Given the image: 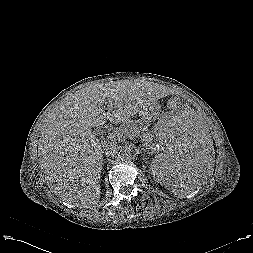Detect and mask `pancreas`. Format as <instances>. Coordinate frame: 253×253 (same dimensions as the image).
Wrapping results in <instances>:
<instances>
[{"mask_svg":"<svg viewBox=\"0 0 253 253\" xmlns=\"http://www.w3.org/2000/svg\"><path fill=\"white\" fill-rule=\"evenodd\" d=\"M118 133L119 137H117ZM132 133H135L134 135H141V139L146 147H149L152 143L149 140L153 141V135L148 128V124L142 120H131L122 124L109 133V138L121 141L126 137H131Z\"/></svg>","mask_w":253,"mask_h":253,"instance_id":"obj_1","label":"pancreas"}]
</instances>
